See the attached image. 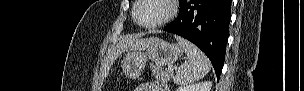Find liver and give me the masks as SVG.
Masks as SVG:
<instances>
[{"label": "liver", "instance_id": "6515ba94", "mask_svg": "<svg viewBox=\"0 0 304 91\" xmlns=\"http://www.w3.org/2000/svg\"><path fill=\"white\" fill-rule=\"evenodd\" d=\"M148 41L149 39H140L136 36H126L122 38L112 47L111 52L104 58L101 65L102 77H106L108 75L111 65L122 52L141 50L146 47Z\"/></svg>", "mask_w": 304, "mask_h": 91}]
</instances>
